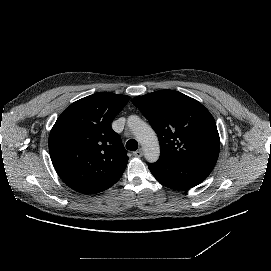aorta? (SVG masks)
Instances as JSON below:
<instances>
[{
    "instance_id": "obj_1",
    "label": "aorta",
    "mask_w": 271,
    "mask_h": 271,
    "mask_svg": "<svg viewBox=\"0 0 271 271\" xmlns=\"http://www.w3.org/2000/svg\"><path fill=\"white\" fill-rule=\"evenodd\" d=\"M127 124L144 149L145 159L149 163L156 162L160 156V147L157 135L151 126L137 115H130L127 119Z\"/></svg>"
}]
</instances>
